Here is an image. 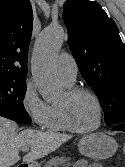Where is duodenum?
<instances>
[{"instance_id":"410a0bca","label":"duodenum","mask_w":125,"mask_h":167,"mask_svg":"<svg viewBox=\"0 0 125 167\" xmlns=\"http://www.w3.org/2000/svg\"><path fill=\"white\" fill-rule=\"evenodd\" d=\"M18 167H28V165L27 164H21Z\"/></svg>"}]
</instances>
